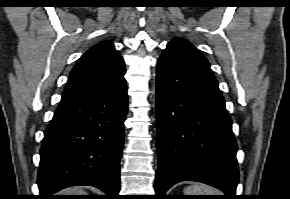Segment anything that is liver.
Segmentation results:
<instances>
[{
	"instance_id": "6515ba94",
	"label": "liver",
	"mask_w": 290,
	"mask_h": 199,
	"mask_svg": "<svg viewBox=\"0 0 290 199\" xmlns=\"http://www.w3.org/2000/svg\"><path fill=\"white\" fill-rule=\"evenodd\" d=\"M62 193H68V195H85L86 193L81 187H72L64 190Z\"/></svg>"
}]
</instances>
